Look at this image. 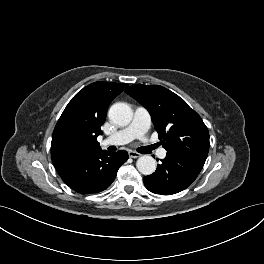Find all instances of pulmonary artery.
Wrapping results in <instances>:
<instances>
[{"label":"pulmonary artery","instance_id":"1","mask_svg":"<svg viewBox=\"0 0 264 264\" xmlns=\"http://www.w3.org/2000/svg\"><path fill=\"white\" fill-rule=\"evenodd\" d=\"M151 124V118L149 112L144 107H137L134 111L133 119L131 123L113 133L111 136L103 141L104 145H122L132 141L135 138L145 139V134L148 131ZM166 150L161 148L158 150L157 155L163 159L166 157Z\"/></svg>","mask_w":264,"mask_h":264}]
</instances>
